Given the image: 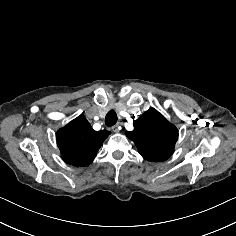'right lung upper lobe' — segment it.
<instances>
[{"label":"right lung upper lobe","instance_id":"1","mask_svg":"<svg viewBox=\"0 0 236 236\" xmlns=\"http://www.w3.org/2000/svg\"><path fill=\"white\" fill-rule=\"evenodd\" d=\"M107 130L94 131L84 115H80L58 130L56 139L63 160L76 167L89 165L95 158Z\"/></svg>","mask_w":236,"mask_h":236}]
</instances>
